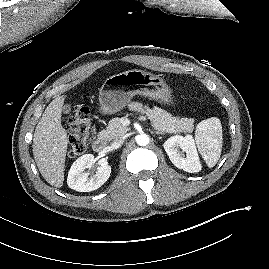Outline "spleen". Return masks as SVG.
<instances>
[{
	"instance_id": "obj_1",
	"label": "spleen",
	"mask_w": 269,
	"mask_h": 269,
	"mask_svg": "<svg viewBox=\"0 0 269 269\" xmlns=\"http://www.w3.org/2000/svg\"><path fill=\"white\" fill-rule=\"evenodd\" d=\"M222 137V125L217 117L203 120L196 127V145L209 168L214 167L220 158Z\"/></svg>"
}]
</instances>
